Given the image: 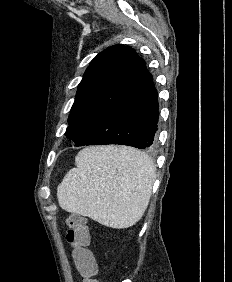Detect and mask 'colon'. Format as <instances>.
<instances>
[{
	"label": "colon",
	"mask_w": 232,
	"mask_h": 282,
	"mask_svg": "<svg viewBox=\"0 0 232 282\" xmlns=\"http://www.w3.org/2000/svg\"><path fill=\"white\" fill-rule=\"evenodd\" d=\"M66 241L72 247L73 259L83 277V282H98L94 276L97 266L89 249L90 233L87 221L80 215H70L67 219Z\"/></svg>",
	"instance_id": "colon-1"
}]
</instances>
